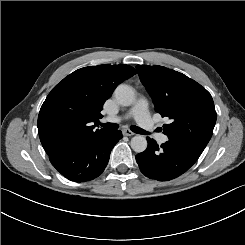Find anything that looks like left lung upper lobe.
Here are the masks:
<instances>
[{"instance_id":"5c2ea615","label":"left lung upper lobe","mask_w":245,"mask_h":245,"mask_svg":"<svg viewBox=\"0 0 245 245\" xmlns=\"http://www.w3.org/2000/svg\"><path fill=\"white\" fill-rule=\"evenodd\" d=\"M136 69L155 110L172 121L163 126V133L189 149L203 152L217 119L210 93L196 81L166 67L137 65Z\"/></svg>"}]
</instances>
